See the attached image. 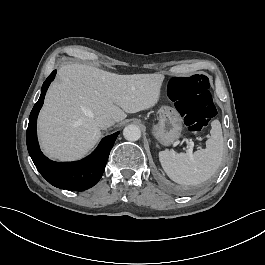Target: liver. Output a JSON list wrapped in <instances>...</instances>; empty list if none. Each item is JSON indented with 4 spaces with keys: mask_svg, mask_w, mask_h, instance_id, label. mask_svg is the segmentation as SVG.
Wrapping results in <instances>:
<instances>
[{
    "mask_svg": "<svg viewBox=\"0 0 265 265\" xmlns=\"http://www.w3.org/2000/svg\"><path fill=\"white\" fill-rule=\"evenodd\" d=\"M162 74L117 75L78 64L62 66L39 117L44 152L51 158L85 155L101 137L97 118L114 121L153 109L161 98Z\"/></svg>",
    "mask_w": 265,
    "mask_h": 265,
    "instance_id": "obj_1",
    "label": "liver"
}]
</instances>
